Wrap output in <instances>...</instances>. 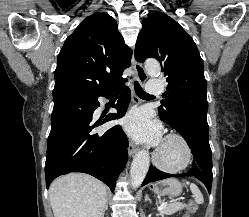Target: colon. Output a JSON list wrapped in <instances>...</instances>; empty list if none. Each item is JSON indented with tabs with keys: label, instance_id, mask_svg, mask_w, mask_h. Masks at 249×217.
<instances>
[{
	"label": "colon",
	"instance_id": "5ec220e1",
	"mask_svg": "<svg viewBox=\"0 0 249 217\" xmlns=\"http://www.w3.org/2000/svg\"><path fill=\"white\" fill-rule=\"evenodd\" d=\"M195 211H196V205L193 201H190L187 206L186 214L184 217H191V215L194 214Z\"/></svg>",
	"mask_w": 249,
	"mask_h": 217
}]
</instances>
